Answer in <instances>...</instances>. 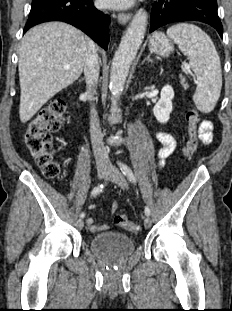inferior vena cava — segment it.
Segmentation results:
<instances>
[{
    "mask_svg": "<svg viewBox=\"0 0 232 311\" xmlns=\"http://www.w3.org/2000/svg\"><path fill=\"white\" fill-rule=\"evenodd\" d=\"M99 70V58L96 46L93 41H90L86 49L84 61V74L87 87L86 94L90 100H92L93 96L96 94ZM90 134L97 166H110L111 163L108 152L104 147L99 119L94 106L91 107L90 111Z\"/></svg>",
    "mask_w": 232,
    "mask_h": 311,
    "instance_id": "obj_1",
    "label": "inferior vena cava"
}]
</instances>
